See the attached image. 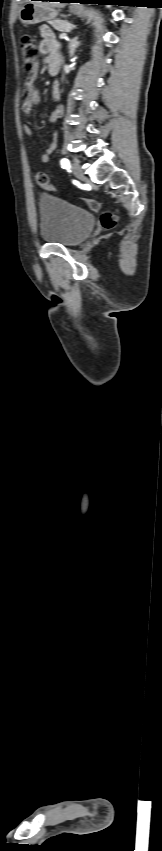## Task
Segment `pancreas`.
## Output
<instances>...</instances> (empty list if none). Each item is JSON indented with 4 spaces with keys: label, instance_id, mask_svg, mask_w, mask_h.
Wrapping results in <instances>:
<instances>
[{
    "label": "pancreas",
    "instance_id": "1",
    "mask_svg": "<svg viewBox=\"0 0 162 851\" xmlns=\"http://www.w3.org/2000/svg\"><path fill=\"white\" fill-rule=\"evenodd\" d=\"M49 23L54 27V29L61 32L71 31L74 28V25L63 20H54Z\"/></svg>",
    "mask_w": 162,
    "mask_h": 851
}]
</instances>
